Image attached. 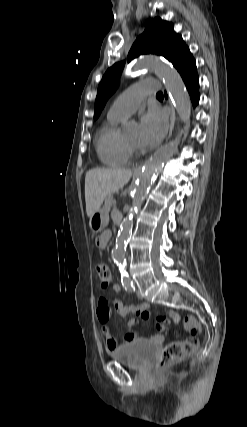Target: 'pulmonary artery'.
I'll list each match as a JSON object with an SVG mask.
<instances>
[{
	"label": "pulmonary artery",
	"mask_w": 247,
	"mask_h": 427,
	"mask_svg": "<svg viewBox=\"0 0 247 427\" xmlns=\"http://www.w3.org/2000/svg\"><path fill=\"white\" fill-rule=\"evenodd\" d=\"M154 81H146L134 84L124 90L113 102L108 111V116L124 118L133 113L141 104L143 99L157 90Z\"/></svg>",
	"instance_id": "obj_1"
}]
</instances>
